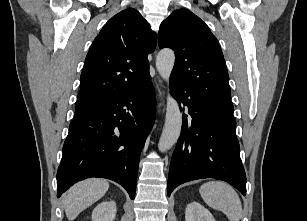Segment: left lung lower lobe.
Listing matches in <instances>:
<instances>
[{"label":"left lung lower lobe","instance_id":"obj_1","mask_svg":"<svg viewBox=\"0 0 307 221\" xmlns=\"http://www.w3.org/2000/svg\"><path fill=\"white\" fill-rule=\"evenodd\" d=\"M170 89L179 104L188 107L192 119L188 121L183 114L182 133L169 169L168 196L178 185L201 178L226 181L246 195L234 116L197 98L172 77Z\"/></svg>","mask_w":307,"mask_h":221}]
</instances>
